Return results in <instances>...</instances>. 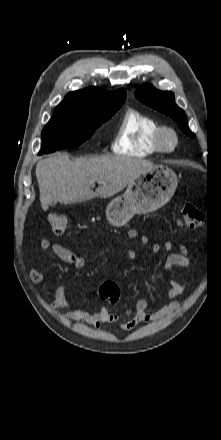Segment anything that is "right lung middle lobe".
<instances>
[{
  "label": "right lung middle lobe",
  "mask_w": 221,
  "mask_h": 440,
  "mask_svg": "<svg viewBox=\"0 0 221 440\" xmlns=\"http://www.w3.org/2000/svg\"><path fill=\"white\" fill-rule=\"evenodd\" d=\"M121 106L93 109L56 107L53 117L42 130V148L47 154L63 148H73L89 139L95 129L114 115Z\"/></svg>",
  "instance_id": "1"
}]
</instances>
